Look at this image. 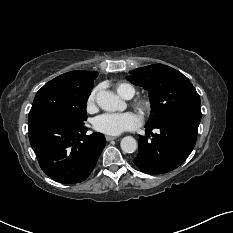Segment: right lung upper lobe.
<instances>
[{
	"instance_id": "1",
	"label": "right lung upper lobe",
	"mask_w": 233,
	"mask_h": 233,
	"mask_svg": "<svg viewBox=\"0 0 233 233\" xmlns=\"http://www.w3.org/2000/svg\"><path fill=\"white\" fill-rule=\"evenodd\" d=\"M96 74L98 75L97 72H93V71L76 70V71H71V72L65 73L64 75L71 77V78L83 79V78L95 76Z\"/></svg>"
}]
</instances>
